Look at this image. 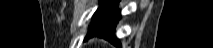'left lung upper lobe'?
<instances>
[{"label": "left lung upper lobe", "instance_id": "5c2ea615", "mask_svg": "<svg viewBox=\"0 0 213 48\" xmlns=\"http://www.w3.org/2000/svg\"><path fill=\"white\" fill-rule=\"evenodd\" d=\"M118 0H101V2H103L99 8L97 9V11L94 13L93 17L95 15H97L98 13L110 8L112 5H114Z\"/></svg>", "mask_w": 213, "mask_h": 48}]
</instances>
